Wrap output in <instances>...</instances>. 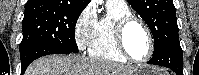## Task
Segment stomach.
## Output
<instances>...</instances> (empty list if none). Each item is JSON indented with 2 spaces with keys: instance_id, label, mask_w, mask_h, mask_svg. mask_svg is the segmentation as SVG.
I'll return each instance as SVG.
<instances>
[{
  "instance_id": "obj_1",
  "label": "stomach",
  "mask_w": 199,
  "mask_h": 75,
  "mask_svg": "<svg viewBox=\"0 0 199 75\" xmlns=\"http://www.w3.org/2000/svg\"><path fill=\"white\" fill-rule=\"evenodd\" d=\"M130 75H165V72L159 71L153 66L142 65L136 68Z\"/></svg>"
}]
</instances>
